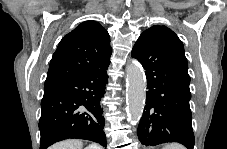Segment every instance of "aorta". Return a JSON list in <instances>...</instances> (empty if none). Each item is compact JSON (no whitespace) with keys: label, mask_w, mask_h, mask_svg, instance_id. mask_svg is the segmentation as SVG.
<instances>
[{"label":"aorta","mask_w":227,"mask_h":149,"mask_svg":"<svg viewBox=\"0 0 227 149\" xmlns=\"http://www.w3.org/2000/svg\"><path fill=\"white\" fill-rule=\"evenodd\" d=\"M126 97L128 116L131 123L136 124L142 117L146 101V78L143 69L137 64L126 68Z\"/></svg>","instance_id":"obj_1"}]
</instances>
